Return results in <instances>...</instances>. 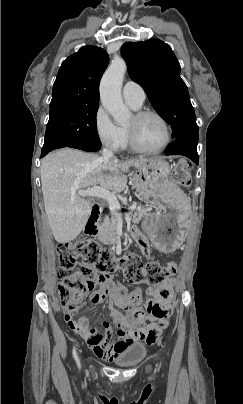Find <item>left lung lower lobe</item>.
Segmentation results:
<instances>
[{
	"label": "left lung lower lobe",
	"instance_id": "obj_1",
	"mask_svg": "<svg viewBox=\"0 0 243 404\" xmlns=\"http://www.w3.org/2000/svg\"><path fill=\"white\" fill-rule=\"evenodd\" d=\"M198 138H180L171 143L165 150L166 155H183L198 165Z\"/></svg>",
	"mask_w": 243,
	"mask_h": 404
}]
</instances>
